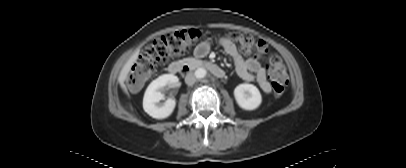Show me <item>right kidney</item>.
<instances>
[{"instance_id":"right-kidney-1","label":"right kidney","mask_w":406,"mask_h":168,"mask_svg":"<svg viewBox=\"0 0 406 168\" xmlns=\"http://www.w3.org/2000/svg\"><path fill=\"white\" fill-rule=\"evenodd\" d=\"M179 79L172 74H164L150 83L143 98V109L151 117L156 119H164L169 117L175 106L174 99H167L165 103L161 104L160 100L164 99V95L160 89L169 86L174 87L177 85Z\"/></svg>"}]
</instances>
